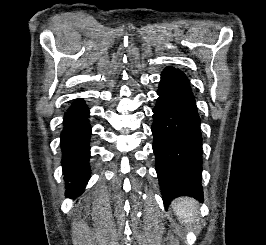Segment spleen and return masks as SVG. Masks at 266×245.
Masks as SVG:
<instances>
[{
	"label": "spleen",
	"mask_w": 266,
	"mask_h": 245,
	"mask_svg": "<svg viewBox=\"0 0 266 245\" xmlns=\"http://www.w3.org/2000/svg\"><path fill=\"white\" fill-rule=\"evenodd\" d=\"M172 209H175V213L178 219H181L182 223H186V225L196 223L198 207L194 199H187V197L177 199V201H173Z\"/></svg>",
	"instance_id": "1"
}]
</instances>
